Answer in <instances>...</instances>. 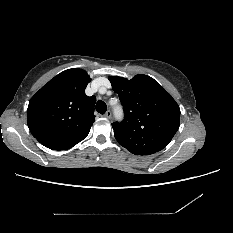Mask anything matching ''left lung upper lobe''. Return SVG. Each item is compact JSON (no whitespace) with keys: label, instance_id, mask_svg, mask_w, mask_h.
<instances>
[{"label":"left lung upper lobe","instance_id":"obj_1","mask_svg":"<svg viewBox=\"0 0 233 233\" xmlns=\"http://www.w3.org/2000/svg\"><path fill=\"white\" fill-rule=\"evenodd\" d=\"M108 79L125 113L122 122L112 123L119 144L135 155H150L165 148L180 123V108L172 96L147 75Z\"/></svg>","mask_w":233,"mask_h":233}]
</instances>
